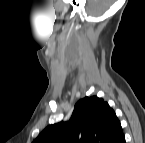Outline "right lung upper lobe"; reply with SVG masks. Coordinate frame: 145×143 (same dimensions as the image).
Segmentation results:
<instances>
[{"mask_svg":"<svg viewBox=\"0 0 145 143\" xmlns=\"http://www.w3.org/2000/svg\"><path fill=\"white\" fill-rule=\"evenodd\" d=\"M34 143H125L113 109L96 96L79 100L69 122L46 127Z\"/></svg>","mask_w":145,"mask_h":143,"instance_id":"cb5924a9","label":"right lung upper lobe"}]
</instances>
